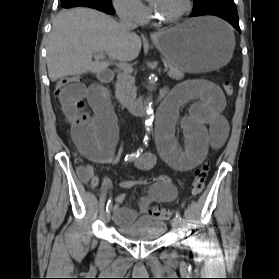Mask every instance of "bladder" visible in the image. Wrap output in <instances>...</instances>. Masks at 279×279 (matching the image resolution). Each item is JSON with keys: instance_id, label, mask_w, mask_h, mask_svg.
<instances>
[{"instance_id": "1", "label": "bladder", "mask_w": 279, "mask_h": 279, "mask_svg": "<svg viewBox=\"0 0 279 279\" xmlns=\"http://www.w3.org/2000/svg\"><path fill=\"white\" fill-rule=\"evenodd\" d=\"M167 230V224L151 216H141L129 225H118V234L132 242H153L159 240Z\"/></svg>"}]
</instances>
